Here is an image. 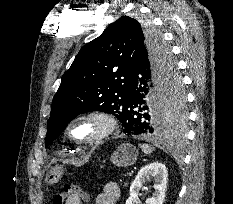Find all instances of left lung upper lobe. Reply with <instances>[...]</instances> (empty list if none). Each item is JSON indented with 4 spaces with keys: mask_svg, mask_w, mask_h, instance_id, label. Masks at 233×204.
I'll use <instances>...</instances> for the list:
<instances>
[{
    "mask_svg": "<svg viewBox=\"0 0 233 204\" xmlns=\"http://www.w3.org/2000/svg\"><path fill=\"white\" fill-rule=\"evenodd\" d=\"M141 48L166 84L164 121L160 131L178 127L186 119L185 94L179 78L169 83L176 63L162 36L151 26L122 16L86 44L62 76L47 123L45 146L51 144L78 114L102 111L120 121L129 96L130 71Z\"/></svg>",
    "mask_w": 233,
    "mask_h": 204,
    "instance_id": "left-lung-upper-lobe-1",
    "label": "left lung upper lobe"
}]
</instances>
